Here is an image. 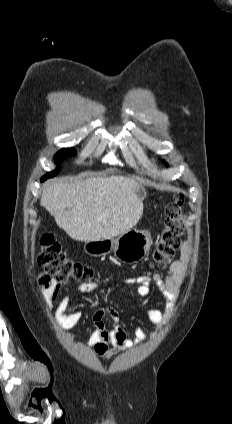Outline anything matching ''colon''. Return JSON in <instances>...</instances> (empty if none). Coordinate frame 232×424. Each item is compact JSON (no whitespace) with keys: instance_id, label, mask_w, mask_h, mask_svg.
Instances as JSON below:
<instances>
[{"instance_id":"obj_1","label":"colon","mask_w":232,"mask_h":424,"mask_svg":"<svg viewBox=\"0 0 232 424\" xmlns=\"http://www.w3.org/2000/svg\"><path fill=\"white\" fill-rule=\"evenodd\" d=\"M183 205L184 195L177 193L174 201L165 209L164 224L153 253V260L158 265L168 263L179 247L180 238L184 234ZM37 262L43 269L38 284L45 290H51L55 283L98 278V273L92 267L70 257L61 244L48 234L41 238Z\"/></svg>"}]
</instances>
